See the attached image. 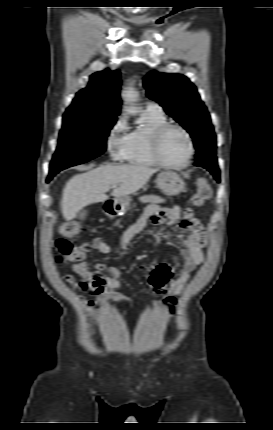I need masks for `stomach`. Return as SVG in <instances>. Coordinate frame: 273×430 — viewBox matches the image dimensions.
<instances>
[{
    "mask_svg": "<svg viewBox=\"0 0 273 430\" xmlns=\"http://www.w3.org/2000/svg\"><path fill=\"white\" fill-rule=\"evenodd\" d=\"M156 183L158 188L168 196H176L185 191V182L180 176L173 171L161 172ZM130 199L127 196L116 198L114 200V208L116 212H123L129 208Z\"/></svg>",
    "mask_w": 273,
    "mask_h": 430,
    "instance_id": "stomach-1",
    "label": "stomach"
}]
</instances>
